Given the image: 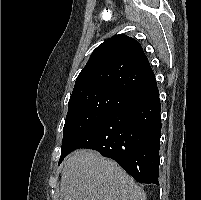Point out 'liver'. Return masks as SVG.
<instances>
[{"label": "liver", "mask_w": 201, "mask_h": 200, "mask_svg": "<svg viewBox=\"0 0 201 200\" xmlns=\"http://www.w3.org/2000/svg\"><path fill=\"white\" fill-rule=\"evenodd\" d=\"M61 200H146L144 190L114 161L80 149L66 160Z\"/></svg>", "instance_id": "6515ba94"}]
</instances>
